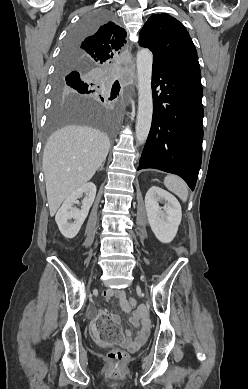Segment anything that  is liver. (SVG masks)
Instances as JSON below:
<instances>
[{"mask_svg": "<svg viewBox=\"0 0 248 389\" xmlns=\"http://www.w3.org/2000/svg\"><path fill=\"white\" fill-rule=\"evenodd\" d=\"M109 149L107 135L88 126H66L49 137L42 165L51 216L71 193L93 177Z\"/></svg>", "mask_w": 248, "mask_h": 389, "instance_id": "6515ba94", "label": "liver"}]
</instances>
